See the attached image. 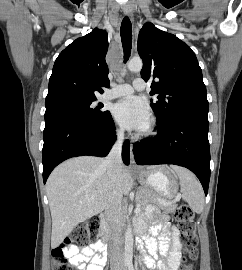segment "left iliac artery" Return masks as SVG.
Segmentation results:
<instances>
[{
  "label": "left iliac artery",
  "instance_id": "1",
  "mask_svg": "<svg viewBox=\"0 0 242 270\" xmlns=\"http://www.w3.org/2000/svg\"><path fill=\"white\" fill-rule=\"evenodd\" d=\"M129 270H134L132 266H129Z\"/></svg>",
  "mask_w": 242,
  "mask_h": 270
}]
</instances>
